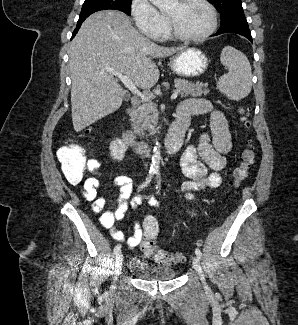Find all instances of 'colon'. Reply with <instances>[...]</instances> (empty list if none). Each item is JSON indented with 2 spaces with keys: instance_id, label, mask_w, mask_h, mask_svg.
<instances>
[{
  "instance_id": "colon-1",
  "label": "colon",
  "mask_w": 298,
  "mask_h": 325,
  "mask_svg": "<svg viewBox=\"0 0 298 325\" xmlns=\"http://www.w3.org/2000/svg\"><path fill=\"white\" fill-rule=\"evenodd\" d=\"M246 125V118L242 117ZM63 174L71 184H78L83 180L85 174L95 173L100 162L97 159L89 158L78 148L64 146L58 152ZM255 153L251 143H248L242 153V159L239 166L234 171V185L240 184L245 180L254 164ZM159 233V224L155 217L147 216L143 222V234L140 240V249L151 260L159 264L174 265L183 261V256L176 253H170L159 248L156 245V238Z\"/></svg>"
}]
</instances>
